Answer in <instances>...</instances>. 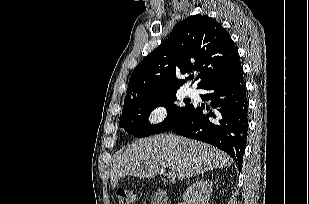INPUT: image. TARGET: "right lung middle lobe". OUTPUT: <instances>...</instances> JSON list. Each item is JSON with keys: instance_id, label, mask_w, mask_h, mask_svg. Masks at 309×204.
<instances>
[{"instance_id": "right-lung-middle-lobe-1", "label": "right lung middle lobe", "mask_w": 309, "mask_h": 204, "mask_svg": "<svg viewBox=\"0 0 309 204\" xmlns=\"http://www.w3.org/2000/svg\"><path fill=\"white\" fill-rule=\"evenodd\" d=\"M158 106L167 108L168 115L163 122L151 125L148 122V116ZM191 106L190 104L184 107L178 106L176 92L124 101L119 126L137 137L162 133L176 126Z\"/></svg>"}]
</instances>
